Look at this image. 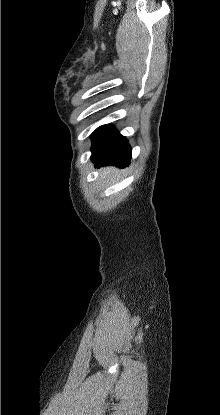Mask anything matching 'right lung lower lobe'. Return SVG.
Segmentation results:
<instances>
[{
  "mask_svg": "<svg viewBox=\"0 0 220 415\" xmlns=\"http://www.w3.org/2000/svg\"><path fill=\"white\" fill-rule=\"evenodd\" d=\"M92 161L96 167L115 165L128 166L131 159V147L125 137L108 126L92 148Z\"/></svg>",
  "mask_w": 220,
  "mask_h": 415,
  "instance_id": "98d812e1",
  "label": "right lung lower lobe"
}]
</instances>
